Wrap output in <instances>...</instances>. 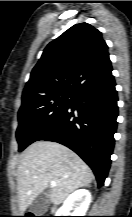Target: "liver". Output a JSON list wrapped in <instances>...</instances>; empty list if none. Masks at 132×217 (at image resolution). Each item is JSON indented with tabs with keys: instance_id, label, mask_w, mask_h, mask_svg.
I'll return each instance as SVG.
<instances>
[{
	"instance_id": "liver-1",
	"label": "liver",
	"mask_w": 132,
	"mask_h": 217,
	"mask_svg": "<svg viewBox=\"0 0 132 217\" xmlns=\"http://www.w3.org/2000/svg\"><path fill=\"white\" fill-rule=\"evenodd\" d=\"M93 178L87 164L66 146L37 141L24 150L19 160V214L47 188H50V201L60 204L70 193L90 184ZM51 181H55L56 186L52 187Z\"/></svg>"
}]
</instances>
